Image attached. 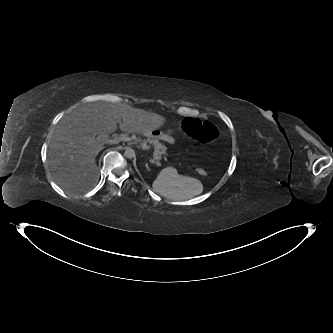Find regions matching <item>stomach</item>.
Returning a JSON list of instances; mask_svg holds the SVG:
<instances>
[{
	"label": "stomach",
	"mask_w": 333,
	"mask_h": 333,
	"mask_svg": "<svg viewBox=\"0 0 333 333\" xmlns=\"http://www.w3.org/2000/svg\"><path fill=\"white\" fill-rule=\"evenodd\" d=\"M150 137H153V138H159V139H163V140H167L168 139V136L165 135L164 133L158 131V130H152L150 132Z\"/></svg>",
	"instance_id": "1"
}]
</instances>
